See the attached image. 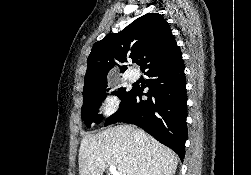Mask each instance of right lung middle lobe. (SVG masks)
<instances>
[{"label": "right lung middle lobe", "instance_id": "1", "mask_svg": "<svg viewBox=\"0 0 251 175\" xmlns=\"http://www.w3.org/2000/svg\"><path fill=\"white\" fill-rule=\"evenodd\" d=\"M107 85L86 87L83 89V106L81 109V117L87 127L91 126L92 122L100 123L103 119L101 114H98V108L103 100L106 98L108 91ZM129 91L125 89L112 92L119 98H123Z\"/></svg>", "mask_w": 251, "mask_h": 175}]
</instances>
